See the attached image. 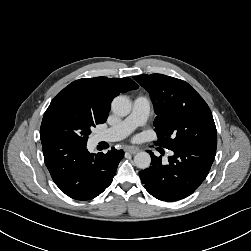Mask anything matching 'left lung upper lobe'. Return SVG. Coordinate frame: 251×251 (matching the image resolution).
<instances>
[{"mask_svg": "<svg viewBox=\"0 0 251 251\" xmlns=\"http://www.w3.org/2000/svg\"><path fill=\"white\" fill-rule=\"evenodd\" d=\"M145 88L157 114L156 144L172 149L188 145L217 146L212 113L202 97L185 81L162 74L133 77Z\"/></svg>", "mask_w": 251, "mask_h": 251, "instance_id": "left-lung-upper-lobe-1", "label": "left lung upper lobe"}]
</instances>
